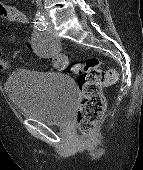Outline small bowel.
Masks as SVG:
<instances>
[{"label": "small bowel", "mask_w": 143, "mask_h": 170, "mask_svg": "<svg viewBox=\"0 0 143 170\" xmlns=\"http://www.w3.org/2000/svg\"><path fill=\"white\" fill-rule=\"evenodd\" d=\"M0 18L17 24H25L27 22V17L21 9L2 3H0ZM26 49L29 52L36 53L40 56L44 55L43 52L37 49V47L32 41L26 42ZM58 57H61L66 61V58L64 56H56L53 60V66L57 69L60 68V64L57 59ZM8 68H9V63L1 57V52H0V69L6 70Z\"/></svg>", "instance_id": "1"}]
</instances>
